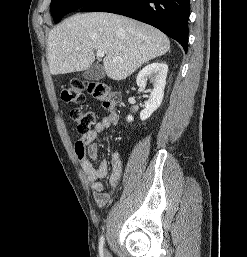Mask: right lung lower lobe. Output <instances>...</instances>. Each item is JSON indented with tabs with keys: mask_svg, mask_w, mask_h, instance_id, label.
Returning <instances> with one entry per match:
<instances>
[{
	"mask_svg": "<svg viewBox=\"0 0 247 257\" xmlns=\"http://www.w3.org/2000/svg\"><path fill=\"white\" fill-rule=\"evenodd\" d=\"M81 12H110L150 24L188 46L189 0H93Z\"/></svg>",
	"mask_w": 247,
	"mask_h": 257,
	"instance_id": "right-lung-lower-lobe-1",
	"label": "right lung lower lobe"
}]
</instances>
